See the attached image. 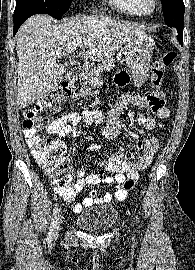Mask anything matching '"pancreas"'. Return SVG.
<instances>
[{
  "label": "pancreas",
  "mask_w": 195,
  "mask_h": 270,
  "mask_svg": "<svg viewBox=\"0 0 195 270\" xmlns=\"http://www.w3.org/2000/svg\"><path fill=\"white\" fill-rule=\"evenodd\" d=\"M98 64V71H106L110 70L113 67H115V61L114 59L108 58V59H101Z\"/></svg>",
  "instance_id": "pancreas-1"
}]
</instances>
